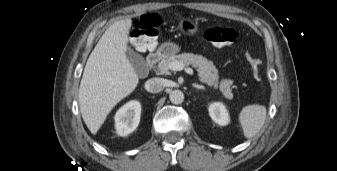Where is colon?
Masks as SVG:
<instances>
[{
  "label": "colon",
  "mask_w": 337,
  "mask_h": 171,
  "mask_svg": "<svg viewBox=\"0 0 337 171\" xmlns=\"http://www.w3.org/2000/svg\"><path fill=\"white\" fill-rule=\"evenodd\" d=\"M159 19L154 15H142L134 23L132 36L134 45L139 49H148L155 45L158 37ZM204 38L215 46L233 44L237 38L236 30L227 27H209L204 31ZM247 60L251 66L253 77L261 79V61L251 52H247Z\"/></svg>",
  "instance_id": "5ec220e1"
}]
</instances>
